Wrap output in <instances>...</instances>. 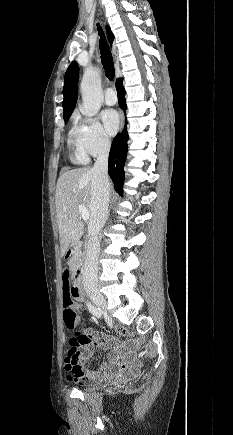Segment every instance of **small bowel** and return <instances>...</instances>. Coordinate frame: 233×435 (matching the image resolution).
I'll list each match as a JSON object with an SVG mask.
<instances>
[{
    "label": "small bowel",
    "mask_w": 233,
    "mask_h": 435,
    "mask_svg": "<svg viewBox=\"0 0 233 435\" xmlns=\"http://www.w3.org/2000/svg\"><path fill=\"white\" fill-rule=\"evenodd\" d=\"M63 293L72 294V286L70 282L64 283L62 281ZM84 339L79 344V351L82 359L86 360L92 357L93 347H98L107 352L109 357V364L99 370H88L84 367V363L72 364L66 360L63 363L64 372L67 373V379L74 377L79 385L93 384L101 379L107 372L117 373L123 379H131L137 376L142 369V364L137 360H131L127 363H120V359L128 354L134 352L137 344L132 342L128 346V351H123L122 346L114 341L108 335H101L96 332H89L85 323H81L80 329L77 333Z\"/></svg>",
    "instance_id": "c3829d8e"
}]
</instances>
